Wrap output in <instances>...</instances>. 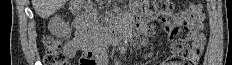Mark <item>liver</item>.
I'll return each instance as SVG.
<instances>
[{
	"label": "liver",
	"instance_id": "1",
	"mask_svg": "<svg viewBox=\"0 0 232 65\" xmlns=\"http://www.w3.org/2000/svg\"><path fill=\"white\" fill-rule=\"evenodd\" d=\"M68 0H32L33 8L40 17L48 18L61 8Z\"/></svg>",
	"mask_w": 232,
	"mask_h": 65
}]
</instances>
